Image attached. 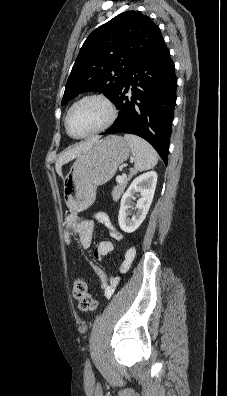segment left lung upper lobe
<instances>
[{
  "instance_id": "obj_1",
  "label": "left lung upper lobe",
  "mask_w": 227,
  "mask_h": 396,
  "mask_svg": "<svg viewBox=\"0 0 227 396\" xmlns=\"http://www.w3.org/2000/svg\"><path fill=\"white\" fill-rule=\"evenodd\" d=\"M161 38L159 27L136 11L123 12L94 30L80 49L62 105L85 91L101 92L113 102L131 68Z\"/></svg>"
}]
</instances>
